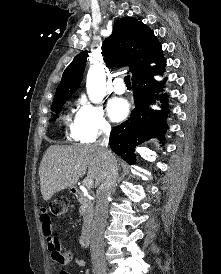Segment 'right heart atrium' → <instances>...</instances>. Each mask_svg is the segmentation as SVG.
<instances>
[{
    "label": "right heart atrium",
    "mask_w": 221,
    "mask_h": 274,
    "mask_svg": "<svg viewBox=\"0 0 221 274\" xmlns=\"http://www.w3.org/2000/svg\"><path fill=\"white\" fill-rule=\"evenodd\" d=\"M110 131L111 125L102 107L81 99L80 109L72 127L73 138L82 143H90Z\"/></svg>",
    "instance_id": "1"
}]
</instances>
